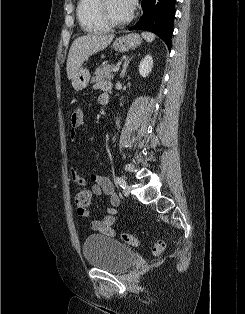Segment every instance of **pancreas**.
<instances>
[{"instance_id": "cf45deb5", "label": "pancreas", "mask_w": 245, "mask_h": 314, "mask_svg": "<svg viewBox=\"0 0 245 314\" xmlns=\"http://www.w3.org/2000/svg\"><path fill=\"white\" fill-rule=\"evenodd\" d=\"M115 67V65H101L96 68L94 72V76L91 79L92 83H101L105 80H111L114 77V74L112 73V69Z\"/></svg>"}]
</instances>
